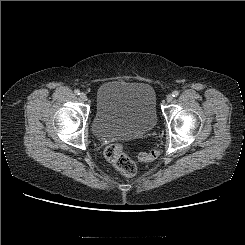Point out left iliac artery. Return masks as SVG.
Returning a JSON list of instances; mask_svg holds the SVG:
<instances>
[{
	"label": "left iliac artery",
	"mask_w": 245,
	"mask_h": 245,
	"mask_svg": "<svg viewBox=\"0 0 245 245\" xmlns=\"http://www.w3.org/2000/svg\"><path fill=\"white\" fill-rule=\"evenodd\" d=\"M178 95H179V92L178 91L175 90V91L172 92V96L173 97H177Z\"/></svg>",
	"instance_id": "left-iliac-artery-1"
}]
</instances>
